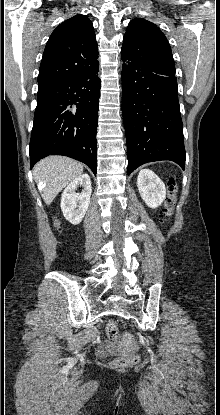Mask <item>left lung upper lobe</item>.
<instances>
[{"mask_svg":"<svg viewBox=\"0 0 220 415\" xmlns=\"http://www.w3.org/2000/svg\"><path fill=\"white\" fill-rule=\"evenodd\" d=\"M121 57L133 65L175 73L171 47L165 35L155 24L142 18H135L128 24Z\"/></svg>","mask_w":220,"mask_h":415,"instance_id":"5c2ea615","label":"left lung upper lobe"}]
</instances>
